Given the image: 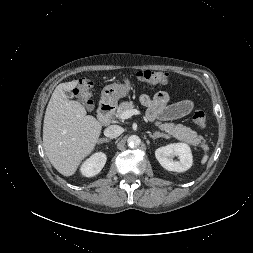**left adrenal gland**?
I'll return each instance as SVG.
<instances>
[{
  "instance_id": "obj_1",
  "label": "left adrenal gland",
  "mask_w": 253,
  "mask_h": 253,
  "mask_svg": "<svg viewBox=\"0 0 253 253\" xmlns=\"http://www.w3.org/2000/svg\"><path fill=\"white\" fill-rule=\"evenodd\" d=\"M149 136H150L153 140H155V139H157V138H159V137H163V138H166V139L169 138V136H167V135H165V134H162V133H160V132H155V133H153V134L149 132Z\"/></svg>"
}]
</instances>
